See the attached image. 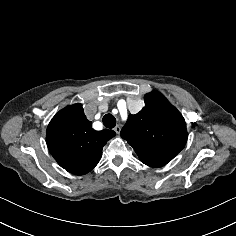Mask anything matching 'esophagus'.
Masks as SVG:
<instances>
[{
  "mask_svg": "<svg viewBox=\"0 0 236 236\" xmlns=\"http://www.w3.org/2000/svg\"><path fill=\"white\" fill-rule=\"evenodd\" d=\"M114 131H115L117 134H119L120 131H121L120 126H119V125L115 126Z\"/></svg>",
  "mask_w": 236,
  "mask_h": 236,
  "instance_id": "1",
  "label": "esophagus"
}]
</instances>
